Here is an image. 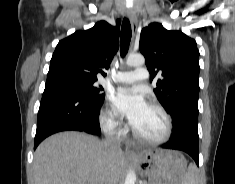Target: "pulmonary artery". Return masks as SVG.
I'll use <instances>...</instances> for the list:
<instances>
[{"label": "pulmonary artery", "instance_id": "obj_1", "mask_svg": "<svg viewBox=\"0 0 235 184\" xmlns=\"http://www.w3.org/2000/svg\"><path fill=\"white\" fill-rule=\"evenodd\" d=\"M150 74V69H137L134 71L116 72L111 74L107 80L120 84H133L137 81L146 79Z\"/></svg>", "mask_w": 235, "mask_h": 184}]
</instances>
